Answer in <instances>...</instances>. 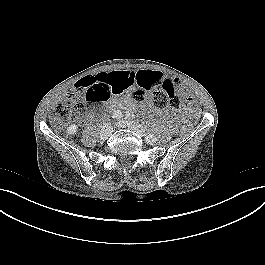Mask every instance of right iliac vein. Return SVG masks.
Returning a JSON list of instances; mask_svg holds the SVG:
<instances>
[{"label": "right iliac vein", "instance_id": "right-iliac-vein-1", "mask_svg": "<svg viewBox=\"0 0 265 265\" xmlns=\"http://www.w3.org/2000/svg\"><path fill=\"white\" fill-rule=\"evenodd\" d=\"M111 133H112V127L110 125H106L100 131V138L102 140H106L110 137Z\"/></svg>", "mask_w": 265, "mask_h": 265}]
</instances>
